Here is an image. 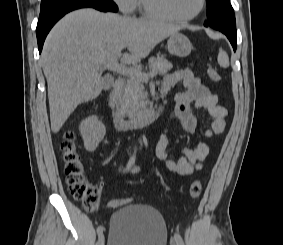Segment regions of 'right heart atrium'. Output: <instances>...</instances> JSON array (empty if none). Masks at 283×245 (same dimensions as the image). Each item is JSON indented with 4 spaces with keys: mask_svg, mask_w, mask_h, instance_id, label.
Segmentation results:
<instances>
[{
    "mask_svg": "<svg viewBox=\"0 0 283 245\" xmlns=\"http://www.w3.org/2000/svg\"><path fill=\"white\" fill-rule=\"evenodd\" d=\"M119 10L125 14L132 13L137 4V0H113Z\"/></svg>",
    "mask_w": 283,
    "mask_h": 245,
    "instance_id": "1",
    "label": "right heart atrium"
}]
</instances>
